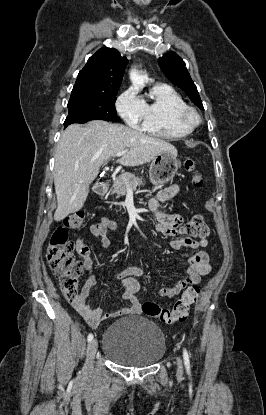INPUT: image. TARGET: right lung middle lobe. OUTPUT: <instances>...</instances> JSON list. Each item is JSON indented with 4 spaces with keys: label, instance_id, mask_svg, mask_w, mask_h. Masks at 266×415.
Returning a JSON list of instances; mask_svg holds the SVG:
<instances>
[{
    "label": "right lung middle lobe",
    "instance_id": "obj_1",
    "mask_svg": "<svg viewBox=\"0 0 266 415\" xmlns=\"http://www.w3.org/2000/svg\"><path fill=\"white\" fill-rule=\"evenodd\" d=\"M117 92L72 93L68 102L69 114L64 122V127L73 123H86L91 120H117L115 109Z\"/></svg>",
    "mask_w": 266,
    "mask_h": 415
}]
</instances>
